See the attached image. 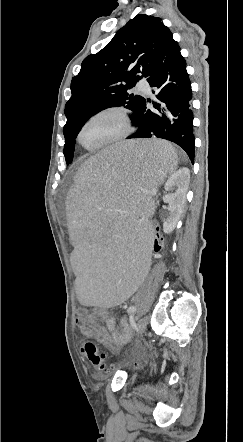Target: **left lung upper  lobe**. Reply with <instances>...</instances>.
<instances>
[{"label": "left lung upper lobe", "instance_id": "left-lung-upper-lobe-1", "mask_svg": "<svg viewBox=\"0 0 243 442\" xmlns=\"http://www.w3.org/2000/svg\"><path fill=\"white\" fill-rule=\"evenodd\" d=\"M170 33L161 18L139 14L117 31L107 46L83 60L65 106L66 163L72 162L75 139L91 116L109 107L124 106L134 112L131 119L135 117L145 99L128 90L146 76Z\"/></svg>", "mask_w": 243, "mask_h": 442}]
</instances>
